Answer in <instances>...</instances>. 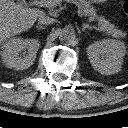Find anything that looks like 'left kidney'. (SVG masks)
Instances as JSON below:
<instances>
[{
  "mask_svg": "<svg viewBox=\"0 0 128 128\" xmlns=\"http://www.w3.org/2000/svg\"><path fill=\"white\" fill-rule=\"evenodd\" d=\"M125 53L124 42L114 39L97 41L87 48L88 59L92 67L105 75H111L121 70Z\"/></svg>",
  "mask_w": 128,
  "mask_h": 128,
  "instance_id": "obj_1",
  "label": "left kidney"
}]
</instances>
